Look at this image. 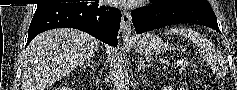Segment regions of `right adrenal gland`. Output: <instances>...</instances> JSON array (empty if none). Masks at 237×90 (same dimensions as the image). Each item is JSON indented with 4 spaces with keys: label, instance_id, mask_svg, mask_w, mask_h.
I'll return each instance as SVG.
<instances>
[{
    "label": "right adrenal gland",
    "instance_id": "right-adrenal-gland-1",
    "mask_svg": "<svg viewBox=\"0 0 237 90\" xmlns=\"http://www.w3.org/2000/svg\"><path fill=\"white\" fill-rule=\"evenodd\" d=\"M92 58H89L88 62L86 64H82L81 68H84V70H87L88 66H91ZM91 70L93 72L94 68L91 66Z\"/></svg>",
    "mask_w": 237,
    "mask_h": 90
}]
</instances>
